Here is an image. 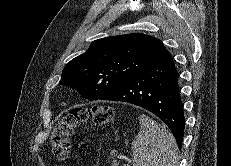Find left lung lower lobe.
Here are the masks:
<instances>
[{
    "label": "left lung lower lobe",
    "mask_w": 231,
    "mask_h": 166,
    "mask_svg": "<svg viewBox=\"0 0 231 166\" xmlns=\"http://www.w3.org/2000/svg\"><path fill=\"white\" fill-rule=\"evenodd\" d=\"M100 100L127 102L152 112L169 127L179 148L181 147L185 119L179 94L178 73L167 49Z\"/></svg>",
    "instance_id": "obj_1"
}]
</instances>
